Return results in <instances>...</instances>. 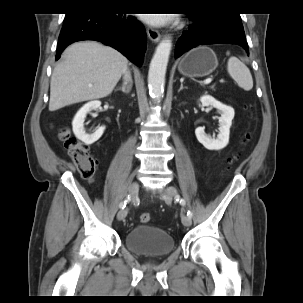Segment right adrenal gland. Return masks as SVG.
Here are the masks:
<instances>
[{
    "label": "right adrenal gland",
    "instance_id": "1",
    "mask_svg": "<svg viewBox=\"0 0 303 303\" xmlns=\"http://www.w3.org/2000/svg\"><path fill=\"white\" fill-rule=\"evenodd\" d=\"M132 81L130 79H125L123 85L117 87L116 90H121L123 93H129L131 91Z\"/></svg>",
    "mask_w": 303,
    "mask_h": 303
}]
</instances>
